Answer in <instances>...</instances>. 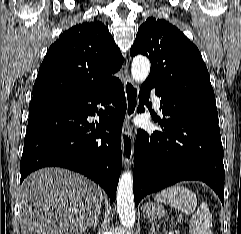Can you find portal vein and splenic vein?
<instances>
[{
    "label": "portal vein and splenic vein",
    "instance_id": "18ae733b",
    "mask_svg": "<svg viewBox=\"0 0 241 234\" xmlns=\"http://www.w3.org/2000/svg\"><path fill=\"white\" fill-rule=\"evenodd\" d=\"M169 234H174L173 232H169Z\"/></svg>",
    "mask_w": 241,
    "mask_h": 234
}]
</instances>
